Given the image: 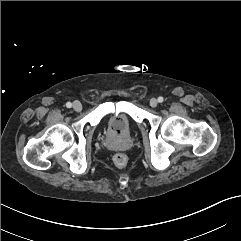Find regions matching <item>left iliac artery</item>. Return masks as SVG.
Returning <instances> with one entry per match:
<instances>
[{
	"label": "left iliac artery",
	"mask_w": 241,
	"mask_h": 241,
	"mask_svg": "<svg viewBox=\"0 0 241 241\" xmlns=\"http://www.w3.org/2000/svg\"><path fill=\"white\" fill-rule=\"evenodd\" d=\"M164 101L163 97H158V102L162 103Z\"/></svg>",
	"instance_id": "obj_1"
}]
</instances>
